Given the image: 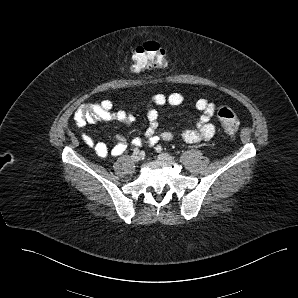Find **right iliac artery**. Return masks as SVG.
Segmentation results:
<instances>
[{"label":"right iliac artery","mask_w":298,"mask_h":298,"mask_svg":"<svg viewBox=\"0 0 298 298\" xmlns=\"http://www.w3.org/2000/svg\"><path fill=\"white\" fill-rule=\"evenodd\" d=\"M134 153H135V154H138V153H139V149H138V148H135V149H134Z\"/></svg>","instance_id":"82829eb1"}]
</instances>
